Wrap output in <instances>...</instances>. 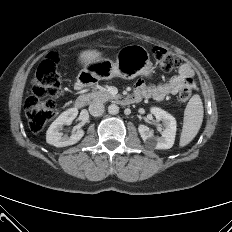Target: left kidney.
<instances>
[{
    "label": "left kidney",
    "mask_w": 232,
    "mask_h": 232,
    "mask_svg": "<svg viewBox=\"0 0 232 232\" xmlns=\"http://www.w3.org/2000/svg\"><path fill=\"white\" fill-rule=\"evenodd\" d=\"M151 113L155 116L157 121H162L164 129L161 132V137L154 136L149 127L145 125H139L138 131L146 146L150 149H170L175 141L176 135V120L166 111L152 107Z\"/></svg>",
    "instance_id": "5707ae66"
}]
</instances>
